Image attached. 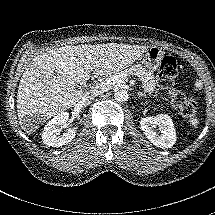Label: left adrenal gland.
Wrapping results in <instances>:
<instances>
[{
  "mask_svg": "<svg viewBox=\"0 0 215 215\" xmlns=\"http://www.w3.org/2000/svg\"><path fill=\"white\" fill-rule=\"evenodd\" d=\"M137 94L139 97L146 96L143 92H138Z\"/></svg>",
  "mask_w": 215,
  "mask_h": 215,
  "instance_id": "left-adrenal-gland-1",
  "label": "left adrenal gland"
}]
</instances>
